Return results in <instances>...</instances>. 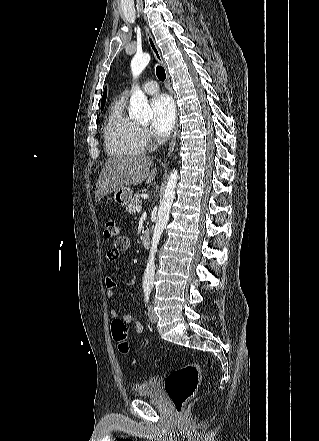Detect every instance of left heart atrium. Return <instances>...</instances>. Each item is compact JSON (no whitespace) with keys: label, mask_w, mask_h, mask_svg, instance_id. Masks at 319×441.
Here are the masks:
<instances>
[{"label":"left heart atrium","mask_w":319,"mask_h":441,"mask_svg":"<svg viewBox=\"0 0 319 441\" xmlns=\"http://www.w3.org/2000/svg\"><path fill=\"white\" fill-rule=\"evenodd\" d=\"M152 110L151 128L159 136L170 133L175 122V105L173 100L165 95L158 94L150 102Z\"/></svg>","instance_id":"1"}]
</instances>
